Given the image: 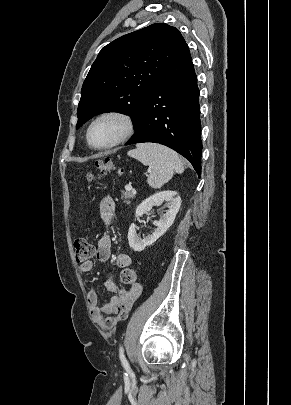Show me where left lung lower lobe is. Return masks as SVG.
Masks as SVG:
<instances>
[{"label": "left lung lower lobe", "mask_w": 291, "mask_h": 405, "mask_svg": "<svg viewBox=\"0 0 291 405\" xmlns=\"http://www.w3.org/2000/svg\"><path fill=\"white\" fill-rule=\"evenodd\" d=\"M197 77L188 45L149 90L136 133L126 145L153 142L175 150L201 175L202 143Z\"/></svg>", "instance_id": "0a47b994"}]
</instances>
